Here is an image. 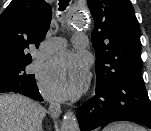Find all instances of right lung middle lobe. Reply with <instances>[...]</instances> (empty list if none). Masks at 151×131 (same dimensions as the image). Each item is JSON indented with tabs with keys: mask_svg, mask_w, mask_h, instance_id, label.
Wrapping results in <instances>:
<instances>
[{
	"mask_svg": "<svg viewBox=\"0 0 151 131\" xmlns=\"http://www.w3.org/2000/svg\"><path fill=\"white\" fill-rule=\"evenodd\" d=\"M31 61V57L0 55V79H5V82H18L27 77H33V74L25 71Z\"/></svg>",
	"mask_w": 151,
	"mask_h": 131,
	"instance_id": "obj_1",
	"label": "right lung middle lobe"
}]
</instances>
